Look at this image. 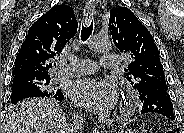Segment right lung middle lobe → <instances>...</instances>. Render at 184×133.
<instances>
[{
  "instance_id": "dd1d6c3e",
  "label": "right lung middle lobe",
  "mask_w": 184,
  "mask_h": 133,
  "mask_svg": "<svg viewBox=\"0 0 184 133\" xmlns=\"http://www.w3.org/2000/svg\"><path fill=\"white\" fill-rule=\"evenodd\" d=\"M50 75L22 74L13 76L11 103L32 97H51L61 93L60 90L52 88Z\"/></svg>"
}]
</instances>
